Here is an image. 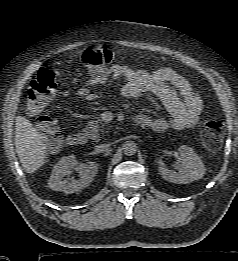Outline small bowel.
<instances>
[{"instance_id": "c3829d8e", "label": "small bowel", "mask_w": 238, "mask_h": 261, "mask_svg": "<svg viewBox=\"0 0 238 261\" xmlns=\"http://www.w3.org/2000/svg\"><path fill=\"white\" fill-rule=\"evenodd\" d=\"M123 79L120 93L126 98H138L144 94H152L160 99L169 117H149L140 115L142 125L154 131L167 129L182 130L193 127L202 111V99L193 91L189 81L175 70L164 67L154 72L133 69L125 65H113L105 75L91 77L78 90L77 94L86 101L102 97L95 90L105 84Z\"/></svg>"}]
</instances>
